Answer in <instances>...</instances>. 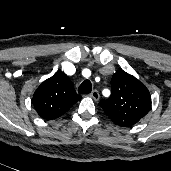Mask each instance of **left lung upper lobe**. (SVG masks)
<instances>
[{"mask_svg": "<svg viewBox=\"0 0 171 171\" xmlns=\"http://www.w3.org/2000/svg\"><path fill=\"white\" fill-rule=\"evenodd\" d=\"M111 87L112 96L99 105L115 124L131 127L149 112L150 93L134 76L119 70L112 77Z\"/></svg>", "mask_w": 171, "mask_h": 171, "instance_id": "1", "label": "left lung upper lobe"}]
</instances>
